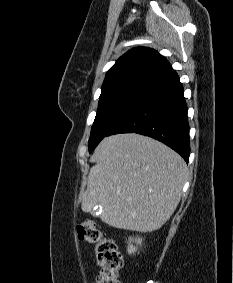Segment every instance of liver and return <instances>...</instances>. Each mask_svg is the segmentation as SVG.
<instances>
[{"mask_svg": "<svg viewBox=\"0 0 233 283\" xmlns=\"http://www.w3.org/2000/svg\"><path fill=\"white\" fill-rule=\"evenodd\" d=\"M81 208L100 205V218L120 229L152 232L177 208L187 165L163 143L136 133L105 137L94 151Z\"/></svg>", "mask_w": 233, "mask_h": 283, "instance_id": "obj_1", "label": "liver"}]
</instances>
